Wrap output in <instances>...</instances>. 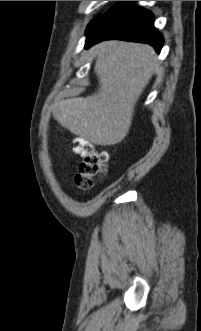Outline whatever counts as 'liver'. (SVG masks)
<instances>
[{"label": "liver", "instance_id": "liver-1", "mask_svg": "<svg viewBox=\"0 0 201 331\" xmlns=\"http://www.w3.org/2000/svg\"><path fill=\"white\" fill-rule=\"evenodd\" d=\"M91 53L98 92L57 101L53 117L95 145H115L130 130L135 105L153 74L155 51L147 44L110 40L95 45Z\"/></svg>", "mask_w": 201, "mask_h": 331}]
</instances>
